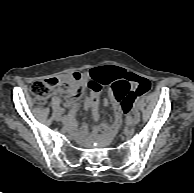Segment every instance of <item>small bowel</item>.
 <instances>
[{
  "mask_svg": "<svg viewBox=\"0 0 194 193\" xmlns=\"http://www.w3.org/2000/svg\"><path fill=\"white\" fill-rule=\"evenodd\" d=\"M121 75H126V72L117 67H97L88 71L83 79L81 80V87L86 91V96L84 99V106L86 109L90 110L93 118L99 120V98L97 93L92 88L93 83L97 84H110L112 81L119 78ZM136 93V92H135ZM56 95L63 96L66 98V105L70 109L71 114H76L80 109V102L75 99H71L67 96V90L59 88L56 90ZM104 106L108 105V101L103 102ZM122 122V107L115 106V118L111 124L100 123L98 126L93 128L94 132L97 134V138L101 142H109ZM68 128L71 131H75V136L78 139H83L88 131L89 126L84 125L79 131H76L74 124H69Z\"/></svg>",
  "mask_w": 194,
  "mask_h": 193,
  "instance_id": "small-bowel-1",
  "label": "small bowel"
}]
</instances>
